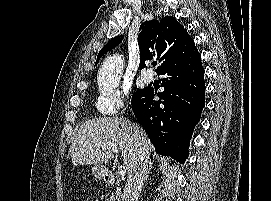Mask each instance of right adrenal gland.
Returning <instances> with one entry per match:
<instances>
[{"label": "right adrenal gland", "mask_w": 271, "mask_h": 201, "mask_svg": "<svg viewBox=\"0 0 271 201\" xmlns=\"http://www.w3.org/2000/svg\"><path fill=\"white\" fill-rule=\"evenodd\" d=\"M152 169V161L150 160L149 161V165H148V168H147V171H146V174H145V177H144V181L146 182L147 178H148V175L150 174V171Z\"/></svg>", "instance_id": "obj_1"}]
</instances>
